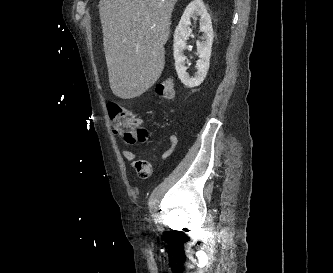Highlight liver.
Here are the masks:
<instances>
[{
	"label": "liver",
	"mask_w": 333,
	"mask_h": 273,
	"mask_svg": "<svg viewBox=\"0 0 333 273\" xmlns=\"http://www.w3.org/2000/svg\"><path fill=\"white\" fill-rule=\"evenodd\" d=\"M177 0H100L110 88L122 99L142 95L160 78Z\"/></svg>",
	"instance_id": "obj_1"
}]
</instances>
